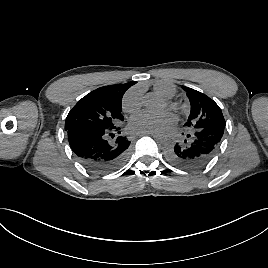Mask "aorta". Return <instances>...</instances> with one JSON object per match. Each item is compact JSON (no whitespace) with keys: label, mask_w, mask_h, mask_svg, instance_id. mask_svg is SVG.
<instances>
[{"label":"aorta","mask_w":268,"mask_h":268,"mask_svg":"<svg viewBox=\"0 0 268 268\" xmlns=\"http://www.w3.org/2000/svg\"><path fill=\"white\" fill-rule=\"evenodd\" d=\"M146 104L151 109L159 108V103L155 99H153L152 97L146 98ZM166 138H167V135L162 130H159L154 134V139L159 143L164 142L166 140Z\"/></svg>","instance_id":"obj_1"}]
</instances>
